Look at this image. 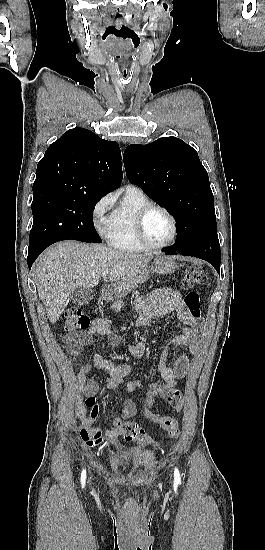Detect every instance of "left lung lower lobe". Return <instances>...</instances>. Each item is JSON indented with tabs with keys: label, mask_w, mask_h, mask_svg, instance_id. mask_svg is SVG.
<instances>
[{
	"label": "left lung lower lobe",
	"mask_w": 265,
	"mask_h": 550,
	"mask_svg": "<svg viewBox=\"0 0 265 550\" xmlns=\"http://www.w3.org/2000/svg\"><path fill=\"white\" fill-rule=\"evenodd\" d=\"M163 252L167 255H175V254H182V255H188V256H195L200 259L206 260L209 263H211L214 268L220 273V257L217 256L214 253L211 252H182L179 251L175 246L174 247H167L162 249Z\"/></svg>",
	"instance_id": "0a47b994"
}]
</instances>
